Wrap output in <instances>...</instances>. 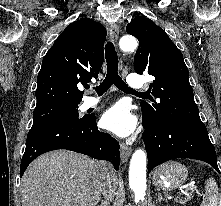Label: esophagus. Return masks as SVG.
I'll return each mask as SVG.
<instances>
[{
	"label": "esophagus",
	"mask_w": 221,
	"mask_h": 206,
	"mask_svg": "<svg viewBox=\"0 0 221 206\" xmlns=\"http://www.w3.org/2000/svg\"><path fill=\"white\" fill-rule=\"evenodd\" d=\"M112 40L117 43L119 28L116 24H112L109 29ZM120 153L123 162H127L131 155V148L124 143H120Z\"/></svg>",
	"instance_id": "1"
}]
</instances>
